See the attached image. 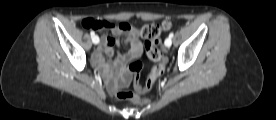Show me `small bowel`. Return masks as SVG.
Returning a JSON list of instances; mask_svg holds the SVG:
<instances>
[{
	"instance_id": "c3829d8e",
	"label": "small bowel",
	"mask_w": 276,
	"mask_h": 120,
	"mask_svg": "<svg viewBox=\"0 0 276 120\" xmlns=\"http://www.w3.org/2000/svg\"><path fill=\"white\" fill-rule=\"evenodd\" d=\"M99 22L101 23V27L97 29L108 30L111 35L102 38L101 46L93 56V63L105 80L109 93L115 94L121 87L129 83L130 78L123 70V67L129 59H135L141 55L142 45L138 38V31L131 25L127 23L115 25L103 20ZM122 34L127 36L126 44L128 46V53L119 54L113 61L106 63L104 61V55L111 56L113 54L114 49L118 47L116 37ZM110 67L120 70L113 71Z\"/></svg>"
}]
</instances>
